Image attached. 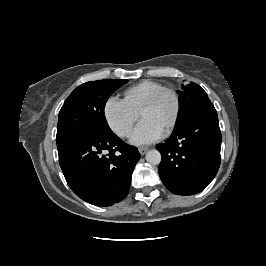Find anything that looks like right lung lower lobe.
<instances>
[{"label":"right lung lower lobe","mask_w":266,"mask_h":266,"mask_svg":"<svg viewBox=\"0 0 266 266\" xmlns=\"http://www.w3.org/2000/svg\"><path fill=\"white\" fill-rule=\"evenodd\" d=\"M58 155L72 191L82 200L101 207L126 197L134 167L141 157L136 147L126 144L111 130L74 142Z\"/></svg>","instance_id":"obj_1"}]
</instances>
